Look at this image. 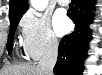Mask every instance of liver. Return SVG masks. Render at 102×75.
I'll return each mask as SVG.
<instances>
[{
  "mask_svg": "<svg viewBox=\"0 0 102 75\" xmlns=\"http://www.w3.org/2000/svg\"><path fill=\"white\" fill-rule=\"evenodd\" d=\"M0 75H46V73L38 66L30 64H20L3 67L0 70Z\"/></svg>",
  "mask_w": 102,
  "mask_h": 75,
  "instance_id": "1",
  "label": "liver"
}]
</instances>
